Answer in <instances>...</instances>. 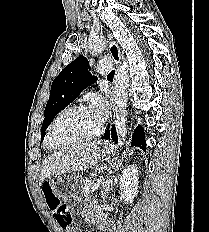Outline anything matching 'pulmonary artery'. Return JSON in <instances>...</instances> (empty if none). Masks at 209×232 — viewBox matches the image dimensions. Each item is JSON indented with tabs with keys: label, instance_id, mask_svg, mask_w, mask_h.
Instances as JSON below:
<instances>
[{
	"label": "pulmonary artery",
	"instance_id": "e3ab8cb5",
	"mask_svg": "<svg viewBox=\"0 0 209 232\" xmlns=\"http://www.w3.org/2000/svg\"><path fill=\"white\" fill-rule=\"evenodd\" d=\"M111 70V63L109 60H101L98 62L97 66L95 67L96 73L106 75Z\"/></svg>",
	"mask_w": 209,
	"mask_h": 232
}]
</instances>
